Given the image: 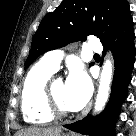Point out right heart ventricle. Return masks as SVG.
Segmentation results:
<instances>
[{"label":"right heart ventricle","mask_w":136,"mask_h":136,"mask_svg":"<svg viewBox=\"0 0 136 136\" xmlns=\"http://www.w3.org/2000/svg\"><path fill=\"white\" fill-rule=\"evenodd\" d=\"M54 71L41 62L35 64L27 73L21 92V110L23 118L30 124H45L52 121L44 90Z\"/></svg>","instance_id":"1"}]
</instances>
